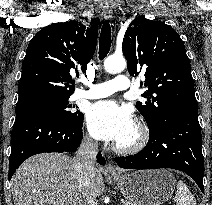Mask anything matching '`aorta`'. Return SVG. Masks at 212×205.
<instances>
[{"mask_svg": "<svg viewBox=\"0 0 212 205\" xmlns=\"http://www.w3.org/2000/svg\"><path fill=\"white\" fill-rule=\"evenodd\" d=\"M126 67V60L123 56H109L104 61L106 72L114 74L122 72Z\"/></svg>", "mask_w": 212, "mask_h": 205, "instance_id": "762f6f07", "label": "aorta"}]
</instances>
